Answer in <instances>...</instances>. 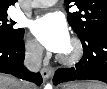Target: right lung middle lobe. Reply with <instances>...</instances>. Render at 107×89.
<instances>
[{"mask_svg": "<svg viewBox=\"0 0 107 89\" xmlns=\"http://www.w3.org/2000/svg\"><path fill=\"white\" fill-rule=\"evenodd\" d=\"M15 22L12 20L9 22L7 19V13L0 14V39L6 42H15L18 40L23 34L24 29L18 28L15 29L13 25Z\"/></svg>", "mask_w": 107, "mask_h": 89, "instance_id": "right-lung-middle-lobe-1", "label": "right lung middle lobe"}]
</instances>
